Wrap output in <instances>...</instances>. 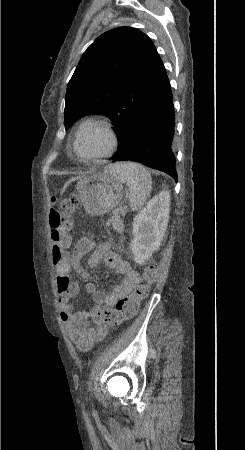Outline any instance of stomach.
Returning a JSON list of instances; mask_svg holds the SVG:
<instances>
[{"mask_svg": "<svg viewBox=\"0 0 245 450\" xmlns=\"http://www.w3.org/2000/svg\"><path fill=\"white\" fill-rule=\"evenodd\" d=\"M111 167L108 166L104 172L82 177L76 184L79 200L90 216L110 212L123 197V182L113 174Z\"/></svg>", "mask_w": 245, "mask_h": 450, "instance_id": "1", "label": "stomach"}]
</instances>
